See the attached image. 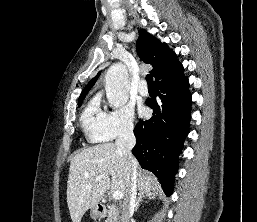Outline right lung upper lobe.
<instances>
[{
	"mask_svg": "<svg viewBox=\"0 0 257 222\" xmlns=\"http://www.w3.org/2000/svg\"><path fill=\"white\" fill-rule=\"evenodd\" d=\"M136 49L141 60L153 66L151 73L155 77V81L183 71V66L177 60L175 52L170 50L165 43L161 44L157 38L147 33L144 29L139 32ZM99 75L100 72L83 89L78 103L85 98Z\"/></svg>",
	"mask_w": 257,
	"mask_h": 222,
	"instance_id": "1",
	"label": "right lung upper lobe"
}]
</instances>
